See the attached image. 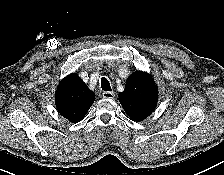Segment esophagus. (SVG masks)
<instances>
[{
	"label": "esophagus",
	"instance_id": "obj_1",
	"mask_svg": "<svg viewBox=\"0 0 224 175\" xmlns=\"http://www.w3.org/2000/svg\"><path fill=\"white\" fill-rule=\"evenodd\" d=\"M102 97L105 99H113L115 97V94L113 92H103Z\"/></svg>",
	"mask_w": 224,
	"mask_h": 175
}]
</instances>
